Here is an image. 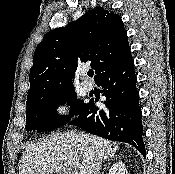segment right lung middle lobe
<instances>
[{
  "instance_id": "right-lung-middle-lobe-1",
  "label": "right lung middle lobe",
  "mask_w": 175,
  "mask_h": 174,
  "mask_svg": "<svg viewBox=\"0 0 175 174\" xmlns=\"http://www.w3.org/2000/svg\"><path fill=\"white\" fill-rule=\"evenodd\" d=\"M74 88L56 92L27 103L26 126L27 131H52L66 125L72 115H79L86 104L76 100ZM68 102L72 106L69 116H58L56 109Z\"/></svg>"
}]
</instances>
